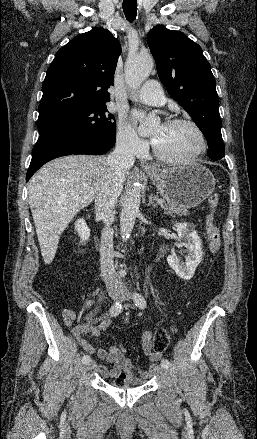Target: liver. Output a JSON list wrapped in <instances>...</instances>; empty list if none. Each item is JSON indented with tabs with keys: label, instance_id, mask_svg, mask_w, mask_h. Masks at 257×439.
I'll use <instances>...</instances> for the list:
<instances>
[{
	"label": "liver",
	"instance_id": "obj_1",
	"mask_svg": "<svg viewBox=\"0 0 257 439\" xmlns=\"http://www.w3.org/2000/svg\"><path fill=\"white\" fill-rule=\"evenodd\" d=\"M107 174L105 157L71 155L47 163L32 177L28 199L46 264L55 257L61 233L96 198ZM128 176L125 170L123 182Z\"/></svg>",
	"mask_w": 257,
	"mask_h": 439
}]
</instances>
